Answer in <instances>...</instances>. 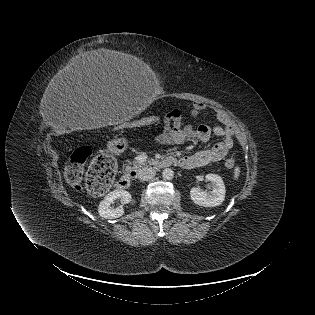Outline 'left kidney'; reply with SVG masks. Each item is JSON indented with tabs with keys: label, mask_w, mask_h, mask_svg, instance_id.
Masks as SVG:
<instances>
[{
	"label": "left kidney",
	"mask_w": 315,
	"mask_h": 315,
	"mask_svg": "<svg viewBox=\"0 0 315 315\" xmlns=\"http://www.w3.org/2000/svg\"><path fill=\"white\" fill-rule=\"evenodd\" d=\"M207 181L212 184V191L207 193L199 187H194L190 191L192 201L204 207H215L222 204L225 199V185L222 178L216 174H207L205 176Z\"/></svg>",
	"instance_id": "left-kidney-1"
}]
</instances>
